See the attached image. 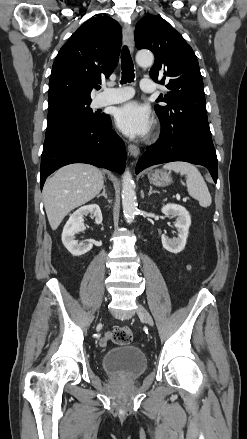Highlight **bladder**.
Returning a JSON list of instances; mask_svg holds the SVG:
<instances>
[{
    "mask_svg": "<svg viewBox=\"0 0 247 439\" xmlns=\"http://www.w3.org/2000/svg\"><path fill=\"white\" fill-rule=\"evenodd\" d=\"M147 364L145 353L132 345L113 348L102 357V365L106 373L122 379L140 376L145 372Z\"/></svg>",
    "mask_w": 247,
    "mask_h": 439,
    "instance_id": "bladder-1",
    "label": "bladder"
}]
</instances>
